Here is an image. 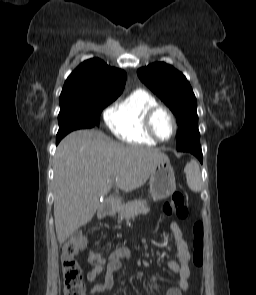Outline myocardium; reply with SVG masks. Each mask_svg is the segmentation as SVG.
<instances>
[{
	"label": "myocardium",
	"instance_id": "1",
	"mask_svg": "<svg viewBox=\"0 0 256 295\" xmlns=\"http://www.w3.org/2000/svg\"><path fill=\"white\" fill-rule=\"evenodd\" d=\"M159 112H164L166 113L169 118L172 121L173 124V133L171 135V137L169 139H162L161 137L158 136V134L155 131L154 128V118L156 116L157 113ZM144 125H145V129L148 132V134L156 141V142H160V143H166L171 141L177 134L178 131V123H177V119L175 117V115L173 114V112L162 105H155L153 107H151L150 109L147 110L146 114H145V118H144Z\"/></svg>",
	"mask_w": 256,
	"mask_h": 295
}]
</instances>
